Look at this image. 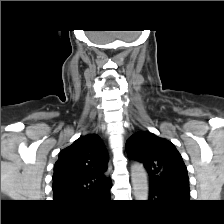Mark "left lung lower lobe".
Here are the masks:
<instances>
[{"instance_id": "0a47b994", "label": "left lung lower lobe", "mask_w": 224, "mask_h": 224, "mask_svg": "<svg viewBox=\"0 0 224 224\" xmlns=\"http://www.w3.org/2000/svg\"><path fill=\"white\" fill-rule=\"evenodd\" d=\"M190 193L187 191L161 189L150 186L149 200L153 202H172L183 203L188 202Z\"/></svg>"}]
</instances>
